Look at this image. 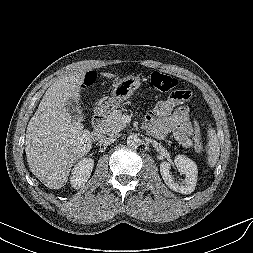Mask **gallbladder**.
Instances as JSON below:
<instances>
[{
  "mask_svg": "<svg viewBox=\"0 0 253 253\" xmlns=\"http://www.w3.org/2000/svg\"><path fill=\"white\" fill-rule=\"evenodd\" d=\"M65 105L73 121H79V122L84 121V115L82 113L81 106L78 102L74 100H67L65 102Z\"/></svg>",
  "mask_w": 253,
  "mask_h": 253,
  "instance_id": "gallbladder-1",
  "label": "gallbladder"
}]
</instances>
